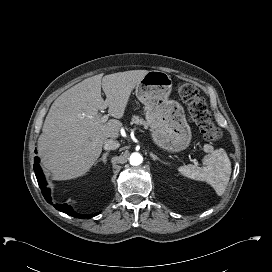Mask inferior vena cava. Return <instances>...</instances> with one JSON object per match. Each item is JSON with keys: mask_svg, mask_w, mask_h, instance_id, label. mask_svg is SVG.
<instances>
[{"mask_svg": "<svg viewBox=\"0 0 272 272\" xmlns=\"http://www.w3.org/2000/svg\"><path fill=\"white\" fill-rule=\"evenodd\" d=\"M120 144L117 140H113V139H107L104 142V149L105 150H116L117 148H119Z\"/></svg>", "mask_w": 272, "mask_h": 272, "instance_id": "602c4592", "label": "inferior vena cava"}]
</instances>
